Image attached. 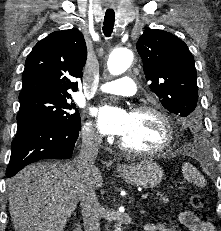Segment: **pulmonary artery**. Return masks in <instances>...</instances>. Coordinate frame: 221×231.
Instances as JSON below:
<instances>
[{
	"instance_id": "1",
	"label": "pulmonary artery",
	"mask_w": 221,
	"mask_h": 231,
	"mask_svg": "<svg viewBox=\"0 0 221 231\" xmlns=\"http://www.w3.org/2000/svg\"><path fill=\"white\" fill-rule=\"evenodd\" d=\"M100 91L121 96H132L136 92V87L132 78L122 77L103 83L100 86Z\"/></svg>"
}]
</instances>
